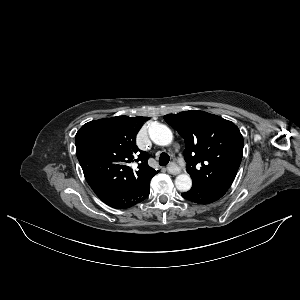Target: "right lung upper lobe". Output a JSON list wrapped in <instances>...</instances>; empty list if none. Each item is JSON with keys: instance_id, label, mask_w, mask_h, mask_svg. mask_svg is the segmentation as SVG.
<instances>
[{"instance_id": "right-lung-upper-lobe-1", "label": "right lung upper lobe", "mask_w": 300, "mask_h": 300, "mask_svg": "<svg viewBox=\"0 0 300 300\" xmlns=\"http://www.w3.org/2000/svg\"><path fill=\"white\" fill-rule=\"evenodd\" d=\"M148 117L116 116L84 124L75 136L76 155L84 176L98 197L129 186H140L157 174L149 155L135 139ZM138 162L136 170L131 168Z\"/></svg>"}]
</instances>
